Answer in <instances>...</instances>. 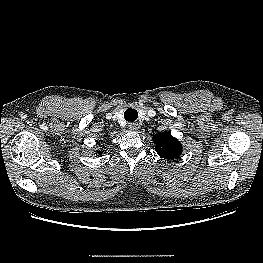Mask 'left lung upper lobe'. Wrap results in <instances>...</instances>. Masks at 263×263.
Segmentation results:
<instances>
[{
    "mask_svg": "<svg viewBox=\"0 0 263 263\" xmlns=\"http://www.w3.org/2000/svg\"><path fill=\"white\" fill-rule=\"evenodd\" d=\"M152 140L156 144L157 154L162 158L174 160L182 154V145L170 132L155 134Z\"/></svg>",
    "mask_w": 263,
    "mask_h": 263,
    "instance_id": "obj_1",
    "label": "left lung upper lobe"
}]
</instances>
